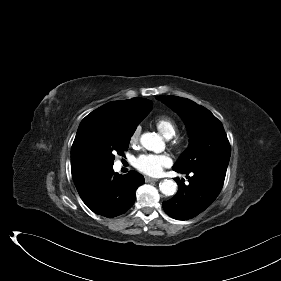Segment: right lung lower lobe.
<instances>
[{"mask_svg":"<svg viewBox=\"0 0 281 281\" xmlns=\"http://www.w3.org/2000/svg\"><path fill=\"white\" fill-rule=\"evenodd\" d=\"M83 202L96 214L115 217L132 207L136 189L145 183L136 171L114 173L113 167L99 168L74 180Z\"/></svg>","mask_w":281,"mask_h":281,"instance_id":"98d812e1","label":"right lung lower lobe"}]
</instances>
